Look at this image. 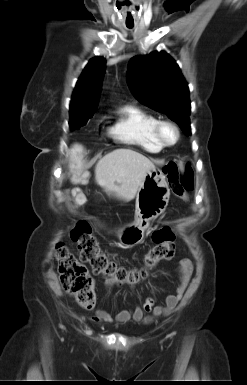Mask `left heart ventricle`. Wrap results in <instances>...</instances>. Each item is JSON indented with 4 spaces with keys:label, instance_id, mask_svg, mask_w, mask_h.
<instances>
[{
    "label": "left heart ventricle",
    "instance_id": "b2bd125f",
    "mask_svg": "<svg viewBox=\"0 0 247 385\" xmlns=\"http://www.w3.org/2000/svg\"><path fill=\"white\" fill-rule=\"evenodd\" d=\"M164 138L166 141L172 142L175 138V134H174L173 130L170 128H166L164 130Z\"/></svg>",
    "mask_w": 247,
    "mask_h": 385
}]
</instances>
